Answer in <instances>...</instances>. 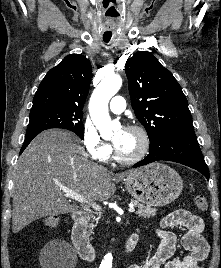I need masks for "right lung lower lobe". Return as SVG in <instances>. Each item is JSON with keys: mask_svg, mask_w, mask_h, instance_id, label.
Instances as JSON below:
<instances>
[{"mask_svg": "<svg viewBox=\"0 0 221 268\" xmlns=\"http://www.w3.org/2000/svg\"><path fill=\"white\" fill-rule=\"evenodd\" d=\"M40 132H33V133H26L25 140L23 143V146L20 150V154L24 151V149L28 146V144L31 142V140L38 135Z\"/></svg>", "mask_w": 221, "mask_h": 268, "instance_id": "1", "label": "right lung lower lobe"}]
</instances>
